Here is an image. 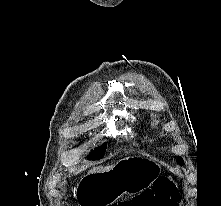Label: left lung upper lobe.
I'll use <instances>...</instances> for the list:
<instances>
[{
  "instance_id": "1",
  "label": "left lung upper lobe",
  "mask_w": 221,
  "mask_h": 206,
  "mask_svg": "<svg viewBox=\"0 0 221 206\" xmlns=\"http://www.w3.org/2000/svg\"><path fill=\"white\" fill-rule=\"evenodd\" d=\"M177 162H178L180 165H184L183 159L180 158V157H178Z\"/></svg>"
}]
</instances>
